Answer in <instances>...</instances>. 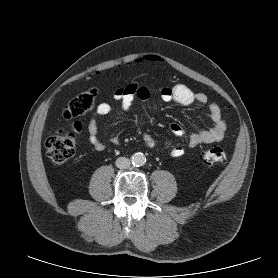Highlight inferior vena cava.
<instances>
[{
    "label": "inferior vena cava",
    "mask_w": 278,
    "mask_h": 278,
    "mask_svg": "<svg viewBox=\"0 0 278 278\" xmlns=\"http://www.w3.org/2000/svg\"><path fill=\"white\" fill-rule=\"evenodd\" d=\"M115 164L120 169H126L130 167V160L125 157H119L116 159Z\"/></svg>",
    "instance_id": "602c4592"
}]
</instances>
